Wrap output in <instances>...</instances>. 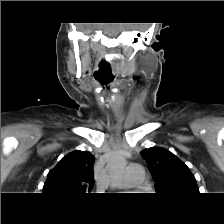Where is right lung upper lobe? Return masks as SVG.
I'll use <instances>...</instances> for the list:
<instances>
[{"label":"right lung upper lobe","mask_w":224,"mask_h":224,"mask_svg":"<svg viewBox=\"0 0 224 224\" xmlns=\"http://www.w3.org/2000/svg\"><path fill=\"white\" fill-rule=\"evenodd\" d=\"M94 156L88 151H73L49 171L43 192L49 194L90 193L94 183Z\"/></svg>","instance_id":"obj_1"}]
</instances>
